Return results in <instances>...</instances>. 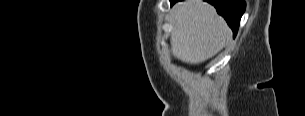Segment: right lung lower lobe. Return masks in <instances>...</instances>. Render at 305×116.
Masks as SVG:
<instances>
[{
	"mask_svg": "<svg viewBox=\"0 0 305 116\" xmlns=\"http://www.w3.org/2000/svg\"><path fill=\"white\" fill-rule=\"evenodd\" d=\"M171 4L179 0H170ZM212 4L217 12L224 17L228 25L233 31V36L235 37L238 27L240 24L241 16L245 11V1L244 0H205Z\"/></svg>",
	"mask_w": 305,
	"mask_h": 116,
	"instance_id": "98d812e1",
	"label": "right lung lower lobe"
}]
</instances>
